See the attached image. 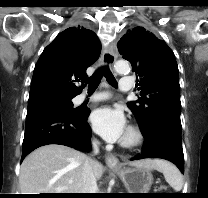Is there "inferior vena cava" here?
Masks as SVG:
<instances>
[{"mask_svg": "<svg viewBox=\"0 0 208 198\" xmlns=\"http://www.w3.org/2000/svg\"><path fill=\"white\" fill-rule=\"evenodd\" d=\"M99 152L97 142H93V153ZM95 160L91 157H86L81 176V189L80 193H96L98 190L96 177L93 171Z\"/></svg>", "mask_w": 208, "mask_h": 198, "instance_id": "1", "label": "inferior vena cava"}]
</instances>
